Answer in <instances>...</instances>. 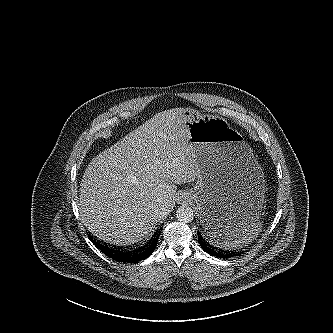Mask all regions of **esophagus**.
<instances>
[{
	"mask_svg": "<svg viewBox=\"0 0 333 333\" xmlns=\"http://www.w3.org/2000/svg\"><path fill=\"white\" fill-rule=\"evenodd\" d=\"M182 198L186 199V197H185V196H182Z\"/></svg>",
	"mask_w": 333,
	"mask_h": 333,
	"instance_id": "obj_1",
	"label": "esophagus"
}]
</instances>
